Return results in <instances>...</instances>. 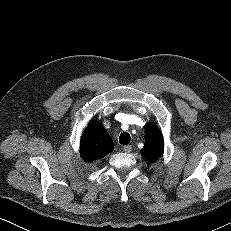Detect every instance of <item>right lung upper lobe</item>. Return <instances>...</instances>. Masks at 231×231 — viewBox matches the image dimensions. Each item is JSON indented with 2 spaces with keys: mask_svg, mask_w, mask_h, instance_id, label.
Masks as SVG:
<instances>
[{
  "mask_svg": "<svg viewBox=\"0 0 231 231\" xmlns=\"http://www.w3.org/2000/svg\"><path fill=\"white\" fill-rule=\"evenodd\" d=\"M114 148L113 140L99 122L90 123L81 137L80 155L86 162L99 160Z\"/></svg>",
  "mask_w": 231,
  "mask_h": 231,
  "instance_id": "obj_1",
  "label": "right lung upper lobe"
}]
</instances>
